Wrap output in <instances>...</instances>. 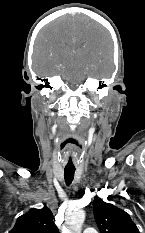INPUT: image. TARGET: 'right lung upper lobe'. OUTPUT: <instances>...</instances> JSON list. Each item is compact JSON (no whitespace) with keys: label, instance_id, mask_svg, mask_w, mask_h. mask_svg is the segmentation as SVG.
<instances>
[{"label":"right lung upper lobe","instance_id":"1","mask_svg":"<svg viewBox=\"0 0 145 233\" xmlns=\"http://www.w3.org/2000/svg\"><path fill=\"white\" fill-rule=\"evenodd\" d=\"M53 219V214L47 207L31 209L17 219L9 233H59Z\"/></svg>","mask_w":145,"mask_h":233}]
</instances>
